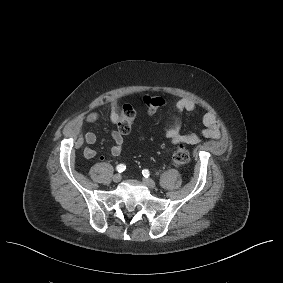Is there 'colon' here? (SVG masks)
<instances>
[{"label": "colon", "instance_id": "5ec220e1", "mask_svg": "<svg viewBox=\"0 0 283 283\" xmlns=\"http://www.w3.org/2000/svg\"><path fill=\"white\" fill-rule=\"evenodd\" d=\"M144 103L150 115L156 113L163 105L164 99L159 96H145ZM136 117L135 110L129 104L123 106L118 120V131L124 135L131 131ZM189 150L183 143H179L174 150L172 161L175 166L181 167L189 162Z\"/></svg>", "mask_w": 283, "mask_h": 283}]
</instances>
